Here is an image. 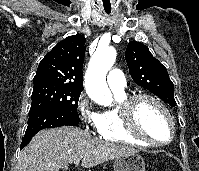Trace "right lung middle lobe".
I'll return each instance as SVG.
<instances>
[{"instance_id":"right-lung-middle-lobe-1","label":"right lung middle lobe","mask_w":199,"mask_h":171,"mask_svg":"<svg viewBox=\"0 0 199 171\" xmlns=\"http://www.w3.org/2000/svg\"><path fill=\"white\" fill-rule=\"evenodd\" d=\"M82 88L55 82H34L31 109L51 106L79 119L77 107Z\"/></svg>"}]
</instances>
